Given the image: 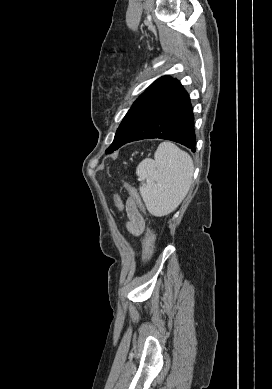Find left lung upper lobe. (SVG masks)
Wrapping results in <instances>:
<instances>
[{
    "mask_svg": "<svg viewBox=\"0 0 272 389\" xmlns=\"http://www.w3.org/2000/svg\"><path fill=\"white\" fill-rule=\"evenodd\" d=\"M172 79L169 76L157 79L137 98L117 129L113 143L106 150L107 154L119 148L124 137L140 117L149 99Z\"/></svg>",
    "mask_w": 272,
    "mask_h": 389,
    "instance_id": "1",
    "label": "left lung upper lobe"
}]
</instances>
